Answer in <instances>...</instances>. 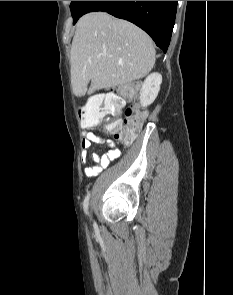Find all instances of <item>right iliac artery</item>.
I'll use <instances>...</instances> for the list:
<instances>
[{"label":"right iliac artery","mask_w":233,"mask_h":295,"mask_svg":"<svg viewBox=\"0 0 233 295\" xmlns=\"http://www.w3.org/2000/svg\"><path fill=\"white\" fill-rule=\"evenodd\" d=\"M89 198H90V194L88 193L83 202V208L86 214H88Z\"/></svg>","instance_id":"82829eb1"}]
</instances>
